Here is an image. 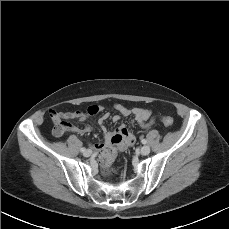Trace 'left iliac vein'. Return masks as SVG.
Instances as JSON below:
<instances>
[{
  "mask_svg": "<svg viewBox=\"0 0 229 229\" xmlns=\"http://www.w3.org/2000/svg\"><path fill=\"white\" fill-rule=\"evenodd\" d=\"M150 151H151V149H150V147L147 146V145H144V146L141 147V149H140V153H141L142 155H148V154L150 153Z\"/></svg>",
  "mask_w": 229,
  "mask_h": 229,
  "instance_id": "left-iliac-vein-1",
  "label": "left iliac vein"
}]
</instances>
